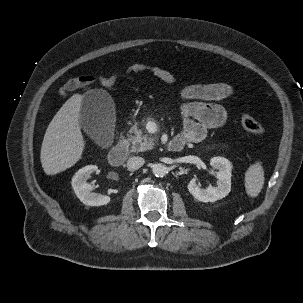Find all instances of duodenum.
Here are the masks:
<instances>
[{"label":"duodenum","instance_id":"410a0bca","mask_svg":"<svg viewBox=\"0 0 303 303\" xmlns=\"http://www.w3.org/2000/svg\"><path fill=\"white\" fill-rule=\"evenodd\" d=\"M185 141L180 138L176 137L171 140L168 144V148L171 151H181L185 147ZM128 155V147L125 141L119 142L117 145L111 148L108 153V161L113 166L121 165Z\"/></svg>","mask_w":303,"mask_h":303}]
</instances>
